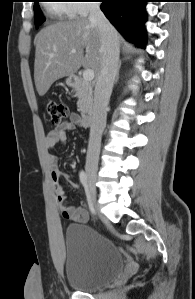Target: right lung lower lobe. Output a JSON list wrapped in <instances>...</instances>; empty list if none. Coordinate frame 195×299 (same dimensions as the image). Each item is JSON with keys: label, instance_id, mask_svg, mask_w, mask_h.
<instances>
[{"label": "right lung lower lobe", "instance_id": "obj_1", "mask_svg": "<svg viewBox=\"0 0 195 299\" xmlns=\"http://www.w3.org/2000/svg\"><path fill=\"white\" fill-rule=\"evenodd\" d=\"M101 10L126 40L144 47L147 0H101Z\"/></svg>", "mask_w": 195, "mask_h": 299}]
</instances>
